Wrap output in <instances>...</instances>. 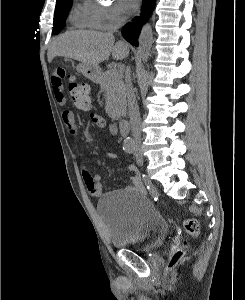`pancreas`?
Listing matches in <instances>:
<instances>
[{"instance_id": "obj_1", "label": "pancreas", "mask_w": 245, "mask_h": 300, "mask_svg": "<svg viewBox=\"0 0 245 300\" xmlns=\"http://www.w3.org/2000/svg\"><path fill=\"white\" fill-rule=\"evenodd\" d=\"M122 77V70L113 69L101 75L100 87L105 93L106 113L113 120L126 112V91Z\"/></svg>"}]
</instances>
